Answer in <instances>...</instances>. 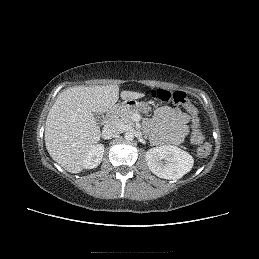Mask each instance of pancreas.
Listing matches in <instances>:
<instances>
[{"label":"pancreas","instance_id":"1","mask_svg":"<svg viewBox=\"0 0 259 259\" xmlns=\"http://www.w3.org/2000/svg\"><path fill=\"white\" fill-rule=\"evenodd\" d=\"M137 111L135 109L131 108H118L114 113V120L123 126L126 127H133L134 121L132 119V116Z\"/></svg>","mask_w":259,"mask_h":259}]
</instances>
